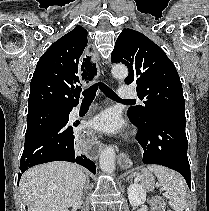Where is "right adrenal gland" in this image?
I'll list each match as a JSON object with an SVG mask.
<instances>
[{
  "mask_svg": "<svg viewBox=\"0 0 209 211\" xmlns=\"http://www.w3.org/2000/svg\"><path fill=\"white\" fill-rule=\"evenodd\" d=\"M89 182H90V180H89V178L87 177V178H86L85 188H84V195L87 194V191H88V189H89Z\"/></svg>",
  "mask_w": 209,
  "mask_h": 211,
  "instance_id": "2a0ac1e0",
  "label": "right adrenal gland"
}]
</instances>
